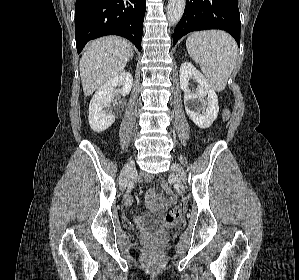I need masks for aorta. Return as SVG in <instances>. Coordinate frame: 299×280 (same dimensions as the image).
Returning <instances> with one entry per match:
<instances>
[{
	"instance_id": "aorta-1",
	"label": "aorta",
	"mask_w": 299,
	"mask_h": 280,
	"mask_svg": "<svg viewBox=\"0 0 299 280\" xmlns=\"http://www.w3.org/2000/svg\"><path fill=\"white\" fill-rule=\"evenodd\" d=\"M186 0H169L167 6L168 21L174 25L181 19Z\"/></svg>"
}]
</instances>
